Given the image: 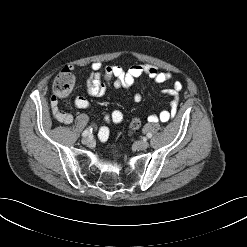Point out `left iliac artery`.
<instances>
[{
    "mask_svg": "<svg viewBox=\"0 0 247 247\" xmlns=\"http://www.w3.org/2000/svg\"><path fill=\"white\" fill-rule=\"evenodd\" d=\"M147 137H148V138H151V137H152V134H151V133H148V134H147Z\"/></svg>",
    "mask_w": 247,
    "mask_h": 247,
    "instance_id": "obj_1",
    "label": "left iliac artery"
}]
</instances>
